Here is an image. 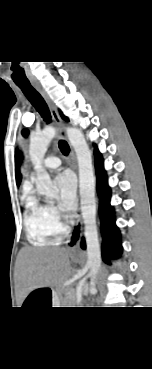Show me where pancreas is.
Here are the masks:
<instances>
[{
  "label": "pancreas",
  "instance_id": "obj_1",
  "mask_svg": "<svg viewBox=\"0 0 152 369\" xmlns=\"http://www.w3.org/2000/svg\"><path fill=\"white\" fill-rule=\"evenodd\" d=\"M75 298V295H74V292H72V291H70L69 293H68V299L70 300H73Z\"/></svg>",
  "mask_w": 152,
  "mask_h": 369
}]
</instances>
